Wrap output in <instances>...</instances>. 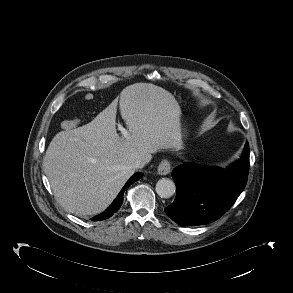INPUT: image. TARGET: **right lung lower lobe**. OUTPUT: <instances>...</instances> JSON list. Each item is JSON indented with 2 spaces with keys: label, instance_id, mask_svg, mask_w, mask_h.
I'll use <instances>...</instances> for the list:
<instances>
[{
  "label": "right lung lower lobe",
  "instance_id": "98d812e1",
  "mask_svg": "<svg viewBox=\"0 0 293 293\" xmlns=\"http://www.w3.org/2000/svg\"><path fill=\"white\" fill-rule=\"evenodd\" d=\"M141 176H142L141 173L134 174L129 179V181L126 183V185L123 187V189L120 191V193L118 194L116 199L113 201V203L110 205V207L104 213L93 217L91 220H93V221L104 220V219H107V218L111 217L114 213H116L119 210V208L122 205V203H123V193H124L125 189L130 184H132L133 182L137 181Z\"/></svg>",
  "mask_w": 293,
  "mask_h": 293
}]
</instances>
